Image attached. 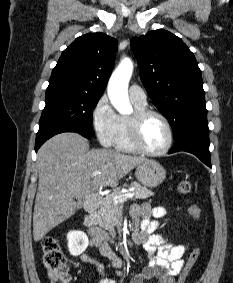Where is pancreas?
<instances>
[{
    "instance_id": "obj_1",
    "label": "pancreas",
    "mask_w": 233,
    "mask_h": 283,
    "mask_svg": "<svg viewBox=\"0 0 233 283\" xmlns=\"http://www.w3.org/2000/svg\"><path fill=\"white\" fill-rule=\"evenodd\" d=\"M126 187L134 188L133 193L136 199H146L154 195L152 190L147 189L138 182H131ZM118 195H123V193L117 190L107 195L103 199L100 210L95 215L98 225L112 234L115 233L114 227L118 226L122 221V204L114 201V197Z\"/></svg>"
}]
</instances>
